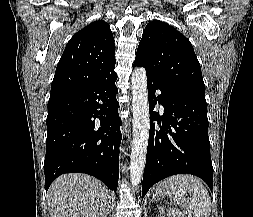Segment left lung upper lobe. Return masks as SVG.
<instances>
[{"label": "left lung upper lobe", "instance_id": "5c2ea615", "mask_svg": "<svg viewBox=\"0 0 253 217\" xmlns=\"http://www.w3.org/2000/svg\"><path fill=\"white\" fill-rule=\"evenodd\" d=\"M135 63L163 87L206 102L194 49L183 34L167 23L152 21L145 27Z\"/></svg>", "mask_w": 253, "mask_h": 217}]
</instances>
